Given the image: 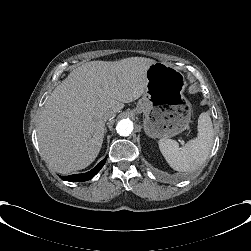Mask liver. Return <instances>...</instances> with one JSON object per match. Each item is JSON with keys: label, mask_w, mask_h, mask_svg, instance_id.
<instances>
[{"label": "liver", "mask_w": 251, "mask_h": 251, "mask_svg": "<svg viewBox=\"0 0 251 251\" xmlns=\"http://www.w3.org/2000/svg\"><path fill=\"white\" fill-rule=\"evenodd\" d=\"M154 63L144 57L91 61L56 86L37 127L41 155L56 172L69 174L95 160L106 120L144 94Z\"/></svg>", "instance_id": "6515ba94"}]
</instances>
